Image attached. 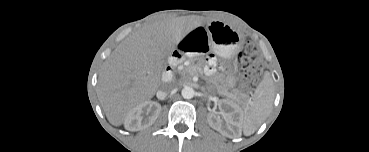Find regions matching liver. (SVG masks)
Segmentation results:
<instances>
[{"mask_svg": "<svg viewBox=\"0 0 369 152\" xmlns=\"http://www.w3.org/2000/svg\"><path fill=\"white\" fill-rule=\"evenodd\" d=\"M192 28L178 18L158 21L128 36L112 52L97 86L99 101L112 125H122L134 107L154 97L161 85V60Z\"/></svg>", "mask_w": 369, "mask_h": 152, "instance_id": "liver-1", "label": "liver"}]
</instances>
